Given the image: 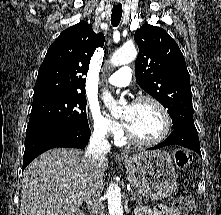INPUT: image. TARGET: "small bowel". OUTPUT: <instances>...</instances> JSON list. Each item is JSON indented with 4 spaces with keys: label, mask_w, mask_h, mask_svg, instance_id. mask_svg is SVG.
<instances>
[{
    "label": "small bowel",
    "mask_w": 221,
    "mask_h": 215,
    "mask_svg": "<svg viewBox=\"0 0 221 215\" xmlns=\"http://www.w3.org/2000/svg\"><path fill=\"white\" fill-rule=\"evenodd\" d=\"M136 215H181V212L176 207L157 205L153 208L139 207Z\"/></svg>",
    "instance_id": "small-bowel-1"
}]
</instances>
